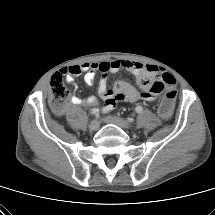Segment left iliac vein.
<instances>
[{
	"label": "left iliac vein",
	"instance_id": "left-iliac-vein-1",
	"mask_svg": "<svg viewBox=\"0 0 215 215\" xmlns=\"http://www.w3.org/2000/svg\"><path fill=\"white\" fill-rule=\"evenodd\" d=\"M103 121L109 124L119 126L120 128L125 130L130 129V124L126 120L116 116H106L103 118Z\"/></svg>",
	"mask_w": 215,
	"mask_h": 215
}]
</instances>
